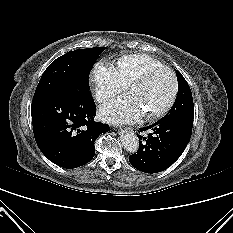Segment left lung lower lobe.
<instances>
[{"label": "left lung lower lobe", "instance_id": "obj_1", "mask_svg": "<svg viewBox=\"0 0 233 233\" xmlns=\"http://www.w3.org/2000/svg\"><path fill=\"white\" fill-rule=\"evenodd\" d=\"M147 130L152 133L148 137L139 135V149L129 156L130 163L145 173H157L170 167L181 156L192 134V127L169 118H161L140 129Z\"/></svg>", "mask_w": 233, "mask_h": 233}]
</instances>
